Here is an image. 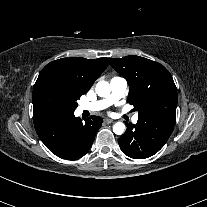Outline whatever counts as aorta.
I'll return each instance as SVG.
<instances>
[{"label": "aorta", "mask_w": 207, "mask_h": 207, "mask_svg": "<svg viewBox=\"0 0 207 207\" xmlns=\"http://www.w3.org/2000/svg\"><path fill=\"white\" fill-rule=\"evenodd\" d=\"M111 92V86L107 81H99L96 85V93L100 97H107ZM125 131V124L117 122L113 125V132L117 135H122Z\"/></svg>", "instance_id": "1"}]
</instances>
